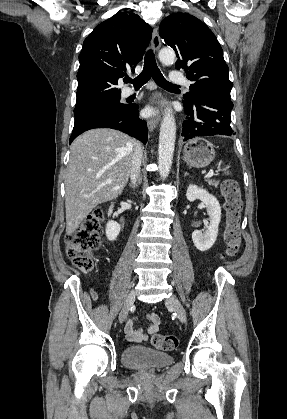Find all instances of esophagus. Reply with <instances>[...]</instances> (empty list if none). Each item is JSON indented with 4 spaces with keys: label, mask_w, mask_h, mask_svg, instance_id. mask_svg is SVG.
Wrapping results in <instances>:
<instances>
[{
    "label": "esophagus",
    "mask_w": 287,
    "mask_h": 419,
    "mask_svg": "<svg viewBox=\"0 0 287 419\" xmlns=\"http://www.w3.org/2000/svg\"><path fill=\"white\" fill-rule=\"evenodd\" d=\"M161 45V41H160V36L158 33L157 28H154L153 30V35H152V40H151V47L154 51H158ZM160 122V116L157 115L153 118H150L147 121V125L150 131H153L159 124Z\"/></svg>",
    "instance_id": "esophagus-1"
}]
</instances>
